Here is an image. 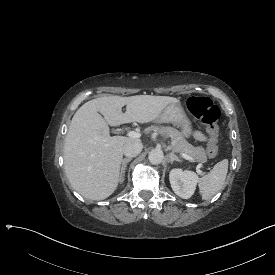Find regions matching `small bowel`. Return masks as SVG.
I'll return each mask as SVG.
<instances>
[{
  "label": "small bowel",
  "mask_w": 275,
  "mask_h": 275,
  "mask_svg": "<svg viewBox=\"0 0 275 275\" xmlns=\"http://www.w3.org/2000/svg\"><path fill=\"white\" fill-rule=\"evenodd\" d=\"M194 138L195 140L199 141V142H205L207 141V137L199 130H196L194 132Z\"/></svg>",
  "instance_id": "obj_1"
}]
</instances>
